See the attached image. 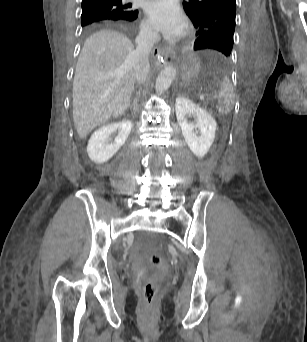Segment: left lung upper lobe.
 Wrapping results in <instances>:
<instances>
[{
	"instance_id": "1",
	"label": "left lung upper lobe",
	"mask_w": 307,
	"mask_h": 342,
	"mask_svg": "<svg viewBox=\"0 0 307 342\" xmlns=\"http://www.w3.org/2000/svg\"><path fill=\"white\" fill-rule=\"evenodd\" d=\"M184 10L197 28L194 50L213 49L230 56L235 31L236 0H189Z\"/></svg>"
}]
</instances>
